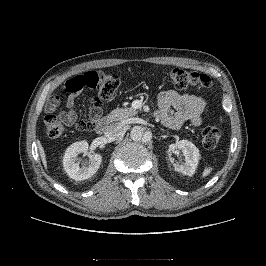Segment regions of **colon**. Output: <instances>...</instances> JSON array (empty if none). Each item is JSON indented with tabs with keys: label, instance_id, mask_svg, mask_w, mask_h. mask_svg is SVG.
Listing matches in <instances>:
<instances>
[{
	"label": "colon",
	"instance_id": "obj_1",
	"mask_svg": "<svg viewBox=\"0 0 266 266\" xmlns=\"http://www.w3.org/2000/svg\"><path fill=\"white\" fill-rule=\"evenodd\" d=\"M171 85L179 90L195 88L200 91L210 92L212 89L211 78L204 73L189 71L183 68H174L169 72ZM120 78L106 71H88L69 79L65 85L67 92H79L86 88L96 89L98 95L89 101V116L86 120H78L75 127L78 130H88L101 114L102 104L114 98L120 88ZM58 97L47 103L45 125L47 133L52 138L61 136L65 130V122L55 114ZM224 130L217 125H207L201 130V138L206 148H214L221 141Z\"/></svg>",
	"mask_w": 266,
	"mask_h": 266
}]
</instances>
